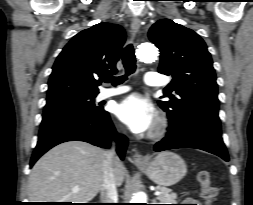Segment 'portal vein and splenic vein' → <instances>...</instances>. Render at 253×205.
<instances>
[{"label": "portal vein and splenic vein", "mask_w": 253, "mask_h": 205, "mask_svg": "<svg viewBox=\"0 0 253 205\" xmlns=\"http://www.w3.org/2000/svg\"><path fill=\"white\" fill-rule=\"evenodd\" d=\"M78 190H79V187H78V186H76V187L73 188V191H75V192L78 191ZM154 194H155L156 196H159L161 193H160V191L157 190V191H155Z\"/></svg>", "instance_id": "obj_1"}]
</instances>
